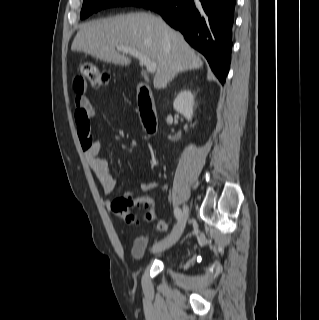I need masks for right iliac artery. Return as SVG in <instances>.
Returning a JSON list of instances; mask_svg holds the SVG:
<instances>
[{
	"label": "right iliac artery",
	"instance_id": "1",
	"mask_svg": "<svg viewBox=\"0 0 319 320\" xmlns=\"http://www.w3.org/2000/svg\"><path fill=\"white\" fill-rule=\"evenodd\" d=\"M174 216L176 217L177 220H181L182 212L180 208L177 207L174 209Z\"/></svg>",
	"mask_w": 319,
	"mask_h": 320
}]
</instances>
